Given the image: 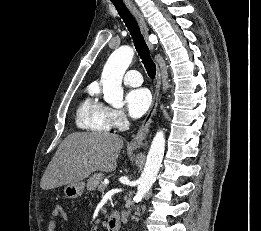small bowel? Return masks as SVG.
Instances as JSON below:
<instances>
[{"label":"small bowel","instance_id":"small-bowel-1","mask_svg":"<svg viewBox=\"0 0 261 231\" xmlns=\"http://www.w3.org/2000/svg\"><path fill=\"white\" fill-rule=\"evenodd\" d=\"M58 218H66V214L61 206H55L49 216L48 231H55Z\"/></svg>","mask_w":261,"mask_h":231}]
</instances>
